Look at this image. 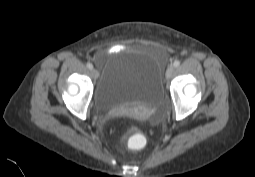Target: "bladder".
Returning a JSON list of instances; mask_svg holds the SVG:
<instances>
[{"mask_svg":"<svg viewBox=\"0 0 255 177\" xmlns=\"http://www.w3.org/2000/svg\"><path fill=\"white\" fill-rule=\"evenodd\" d=\"M165 97L160 62L148 53H120L106 68L94 96L97 112L154 108Z\"/></svg>","mask_w":255,"mask_h":177,"instance_id":"obj_1","label":"bladder"}]
</instances>
